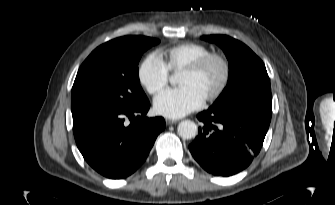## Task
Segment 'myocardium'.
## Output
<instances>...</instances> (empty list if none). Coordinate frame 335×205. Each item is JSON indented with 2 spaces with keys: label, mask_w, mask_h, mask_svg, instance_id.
I'll use <instances>...</instances> for the list:
<instances>
[{
  "label": "myocardium",
  "mask_w": 335,
  "mask_h": 205,
  "mask_svg": "<svg viewBox=\"0 0 335 205\" xmlns=\"http://www.w3.org/2000/svg\"><path fill=\"white\" fill-rule=\"evenodd\" d=\"M212 61H218L221 64L223 74L216 90L204 98V100L207 102H213L217 100L224 93L225 89L228 86L231 76V66L228 59L221 53L210 52L202 56L201 58H199L194 63H192L191 65H189L180 72V74H189V75L199 74Z\"/></svg>",
  "instance_id": "1"
}]
</instances>
